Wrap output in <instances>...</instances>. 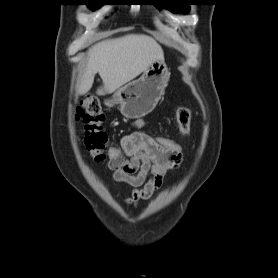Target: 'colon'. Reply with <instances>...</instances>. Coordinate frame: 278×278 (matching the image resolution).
Here are the masks:
<instances>
[{
    "label": "colon",
    "instance_id": "obj_1",
    "mask_svg": "<svg viewBox=\"0 0 278 278\" xmlns=\"http://www.w3.org/2000/svg\"><path fill=\"white\" fill-rule=\"evenodd\" d=\"M76 115L78 119L84 122V141L88 151L96 161H108L121 156L120 146L106 148L108 137L103 129L105 115L97 98H85L78 106ZM177 122L181 132L179 140L166 137H157L155 139L168 152L182 155L185 138L190 130L191 113L189 109L181 107L177 110Z\"/></svg>",
    "mask_w": 278,
    "mask_h": 278
}]
</instances>
